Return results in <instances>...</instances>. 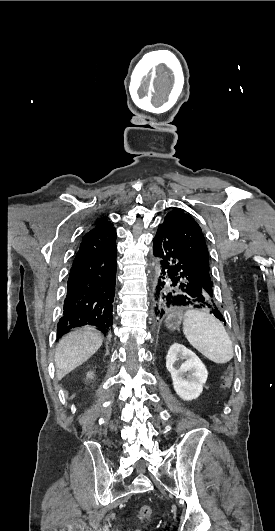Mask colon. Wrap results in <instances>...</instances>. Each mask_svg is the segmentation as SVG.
<instances>
[{
  "instance_id": "1",
  "label": "colon",
  "mask_w": 275,
  "mask_h": 531,
  "mask_svg": "<svg viewBox=\"0 0 275 531\" xmlns=\"http://www.w3.org/2000/svg\"><path fill=\"white\" fill-rule=\"evenodd\" d=\"M232 368H228L223 374L222 388L224 391L228 390L231 386ZM137 516L140 520H147L152 517V508L148 505L140 506L137 509Z\"/></svg>"
}]
</instances>
